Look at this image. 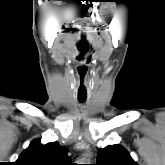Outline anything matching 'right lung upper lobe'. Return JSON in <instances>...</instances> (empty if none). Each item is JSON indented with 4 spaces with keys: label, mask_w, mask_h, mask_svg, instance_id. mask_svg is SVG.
<instances>
[{
    "label": "right lung upper lobe",
    "mask_w": 165,
    "mask_h": 165,
    "mask_svg": "<svg viewBox=\"0 0 165 165\" xmlns=\"http://www.w3.org/2000/svg\"><path fill=\"white\" fill-rule=\"evenodd\" d=\"M70 160L67 149L58 142L42 144L40 140L35 139L15 163L16 165H74Z\"/></svg>",
    "instance_id": "right-lung-upper-lobe-1"
}]
</instances>
